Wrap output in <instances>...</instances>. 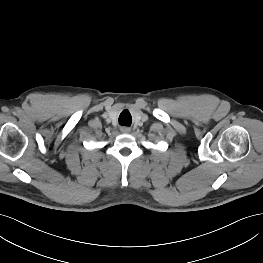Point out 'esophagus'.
<instances>
[{
  "label": "esophagus",
  "instance_id": "34e87169",
  "mask_svg": "<svg viewBox=\"0 0 263 263\" xmlns=\"http://www.w3.org/2000/svg\"><path fill=\"white\" fill-rule=\"evenodd\" d=\"M120 131L124 134H127L131 131V129L128 127H121Z\"/></svg>",
  "mask_w": 263,
  "mask_h": 263
}]
</instances>
